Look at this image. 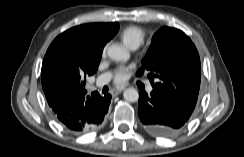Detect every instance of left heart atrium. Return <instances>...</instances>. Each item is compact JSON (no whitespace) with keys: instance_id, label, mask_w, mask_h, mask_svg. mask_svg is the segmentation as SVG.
<instances>
[{"instance_id":"obj_1","label":"left heart atrium","mask_w":244,"mask_h":157,"mask_svg":"<svg viewBox=\"0 0 244 157\" xmlns=\"http://www.w3.org/2000/svg\"><path fill=\"white\" fill-rule=\"evenodd\" d=\"M127 73H128V68L126 67H119L116 72H115V76H114V80L116 83H123L126 78H127Z\"/></svg>"}]
</instances>
